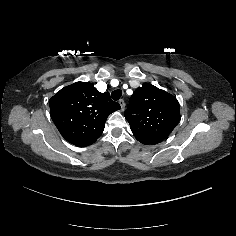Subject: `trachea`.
<instances>
[{
  "label": "trachea",
  "mask_w": 236,
  "mask_h": 236,
  "mask_svg": "<svg viewBox=\"0 0 236 236\" xmlns=\"http://www.w3.org/2000/svg\"><path fill=\"white\" fill-rule=\"evenodd\" d=\"M122 91L120 89H116L111 93V97L114 101H117L121 98Z\"/></svg>",
  "instance_id": "1"
}]
</instances>
